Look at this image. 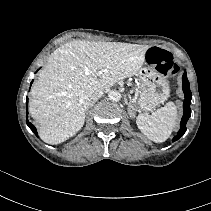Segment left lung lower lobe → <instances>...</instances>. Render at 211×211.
Here are the masks:
<instances>
[{
	"label": "left lung lower lobe",
	"mask_w": 211,
	"mask_h": 211,
	"mask_svg": "<svg viewBox=\"0 0 211 211\" xmlns=\"http://www.w3.org/2000/svg\"><path fill=\"white\" fill-rule=\"evenodd\" d=\"M182 82H183V84H182L183 92L185 95V100L183 103L184 113H183V117H182L181 123H180V130L178 131V134L173 138V141L178 140L180 137H182L184 135V133L186 132V123H187L189 117L191 116L190 104H191L192 94L190 91V86H189V82L187 79L186 71L183 74Z\"/></svg>",
	"instance_id": "0a47b994"
}]
</instances>
